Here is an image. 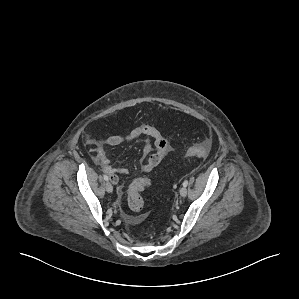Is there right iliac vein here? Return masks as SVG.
Instances as JSON below:
<instances>
[{"label":"right iliac vein","instance_id":"1","mask_svg":"<svg viewBox=\"0 0 299 299\" xmlns=\"http://www.w3.org/2000/svg\"><path fill=\"white\" fill-rule=\"evenodd\" d=\"M106 191L111 193L113 191V186L111 182H106L105 184Z\"/></svg>","mask_w":299,"mask_h":299}]
</instances>
